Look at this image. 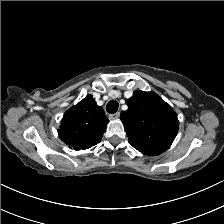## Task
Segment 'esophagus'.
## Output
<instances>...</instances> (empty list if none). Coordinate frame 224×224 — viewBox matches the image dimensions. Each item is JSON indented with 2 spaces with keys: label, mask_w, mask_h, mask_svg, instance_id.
Wrapping results in <instances>:
<instances>
[{
  "label": "esophagus",
  "mask_w": 224,
  "mask_h": 224,
  "mask_svg": "<svg viewBox=\"0 0 224 224\" xmlns=\"http://www.w3.org/2000/svg\"><path fill=\"white\" fill-rule=\"evenodd\" d=\"M119 116H120V112H116L114 114H111L109 117H110V119H117V118H119Z\"/></svg>",
  "instance_id": "34e87169"
}]
</instances>
